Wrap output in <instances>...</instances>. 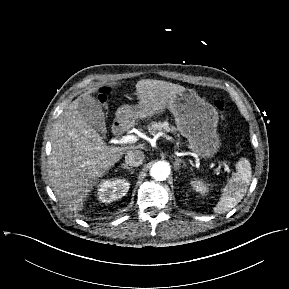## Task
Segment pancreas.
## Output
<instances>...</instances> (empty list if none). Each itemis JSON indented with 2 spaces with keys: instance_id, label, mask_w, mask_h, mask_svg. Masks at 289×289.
Segmentation results:
<instances>
[{
  "instance_id": "1",
  "label": "pancreas",
  "mask_w": 289,
  "mask_h": 289,
  "mask_svg": "<svg viewBox=\"0 0 289 289\" xmlns=\"http://www.w3.org/2000/svg\"><path fill=\"white\" fill-rule=\"evenodd\" d=\"M162 129H165L167 131L170 130L168 122H153L151 125L148 127L149 132L155 133L156 131H161Z\"/></svg>"
}]
</instances>
